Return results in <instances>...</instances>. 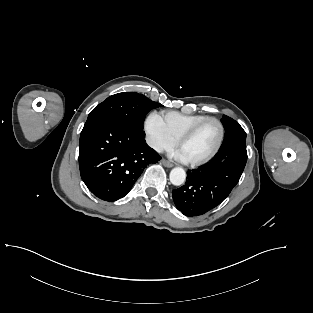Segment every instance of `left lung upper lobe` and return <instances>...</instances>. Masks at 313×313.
Returning a JSON list of instances; mask_svg holds the SVG:
<instances>
[{"mask_svg":"<svg viewBox=\"0 0 313 313\" xmlns=\"http://www.w3.org/2000/svg\"><path fill=\"white\" fill-rule=\"evenodd\" d=\"M221 121L226 132L220 148L236 142H246V132L237 121L226 115L223 116Z\"/></svg>","mask_w":313,"mask_h":313,"instance_id":"1","label":"left lung upper lobe"}]
</instances>
